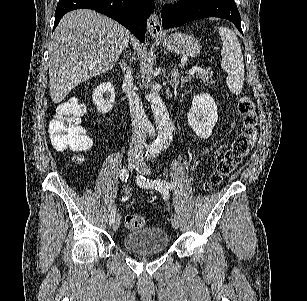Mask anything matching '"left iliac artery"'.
Listing matches in <instances>:
<instances>
[{
    "label": "left iliac artery",
    "instance_id": "obj_1",
    "mask_svg": "<svg viewBox=\"0 0 307 301\" xmlns=\"http://www.w3.org/2000/svg\"><path fill=\"white\" fill-rule=\"evenodd\" d=\"M138 182L143 185V186H146V187H153L155 188L156 190L160 191V192H166L168 191L169 189H173V186L172 184H170L169 182L165 181V180H161V179H155V180H151L149 181V179H146L145 177L143 176H139L137 178Z\"/></svg>",
    "mask_w": 307,
    "mask_h": 301
}]
</instances>
